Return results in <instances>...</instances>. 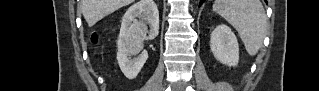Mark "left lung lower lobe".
I'll return each mask as SVG.
<instances>
[{
	"label": "left lung lower lobe",
	"mask_w": 319,
	"mask_h": 91,
	"mask_svg": "<svg viewBox=\"0 0 319 91\" xmlns=\"http://www.w3.org/2000/svg\"><path fill=\"white\" fill-rule=\"evenodd\" d=\"M204 1H205V0H200L199 6H200ZM265 2H267V0H265Z\"/></svg>",
	"instance_id": "0a47b994"
}]
</instances>
